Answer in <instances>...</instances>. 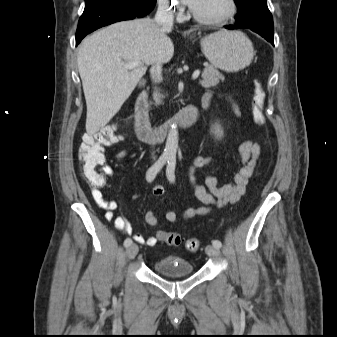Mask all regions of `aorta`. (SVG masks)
Segmentation results:
<instances>
[{"mask_svg": "<svg viewBox=\"0 0 337 337\" xmlns=\"http://www.w3.org/2000/svg\"><path fill=\"white\" fill-rule=\"evenodd\" d=\"M178 148V130L176 125H172L167 136L164 155L167 157H175Z\"/></svg>", "mask_w": 337, "mask_h": 337, "instance_id": "762f6f07", "label": "aorta"}]
</instances>
